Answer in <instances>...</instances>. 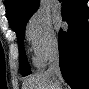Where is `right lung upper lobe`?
Returning a JSON list of instances; mask_svg holds the SVG:
<instances>
[{
    "instance_id": "1",
    "label": "right lung upper lobe",
    "mask_w": 89,
    "mask_h": 89,
    "mask_svg": "<svg viewBox=\"0 0 89 89\" xmlns=\"http://www.w3.org/2000/svg\"><path fill=\"white\" fill-rule=\"evenodd\" d=\"M39 0H5L6 16L10 26L14 27L30 18L38 9Z\"/></svg>"
}]
</instances>
